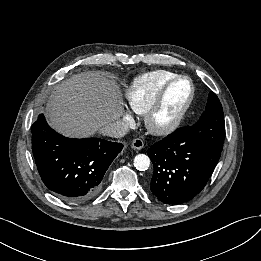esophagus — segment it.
I'll use <instances>...</instances> for the list:
<instances>
[{
  "label": "esophagus",
  "instance_id": "obj_1",
  "mask_svg": "<svg viewBox=\"0 0 261 261\" xmlns=\"http://www.w3.org/2000/svg\"><path fill=\"white\" fill-rule=\"evenodd\" d=\"M131 147L134 150H141L144 147V142L140 138H136L132 141Z\"/></svg>",
  "mask_w": 261,
  "mask_h": 261
}]
</instances>
